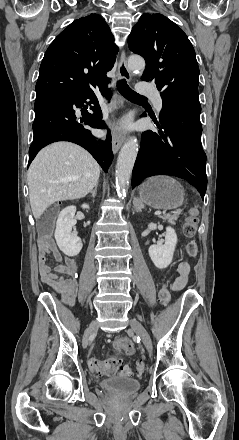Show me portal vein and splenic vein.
Returning <instances> with one entry per match:
<instances>
[{
	"mask_svg": "<svg viewBox=\"0 0 239 440\" xmlns=\"http://www.w3.org/2000/svg\"><path fill=\"white\" fill-rule=\"evenodd\" d=\"M154 213H155V214H157V215H160V214H161V212H160V211H158V210H157V211H155Z\"/></svg>",
	"mask_w": 239,
	"mask_h": 440,
	"instance_id": "obj_1",
	"label": "portal vein and splenic vein"
}]
</instances>
